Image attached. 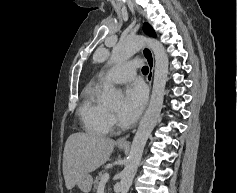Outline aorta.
<instances>
[{
	"label": "aorta",
	"instance_id": "obj_1",
	"mask_svg": "<svg viewBox=\"0 0 237 193\" xmlns=\"http://www.w3.org/2000/svg\"><path fill=\"white\" fill-rule=\"evenodd\" d=\"M144 46L150 48L155 57L152 93L148 108L133 138L126 165L121 173L119 193H128L141 161L146 142L160 117L168 77L169 59L164 46L158 40L142 35H129L113 48L110 58L111 63H122ZM120 98L121 92L110 86L105 100L113 103Z\"/></svg>",
	"mask_w": 237,
	"mask_h": 193
}]
</instances>
